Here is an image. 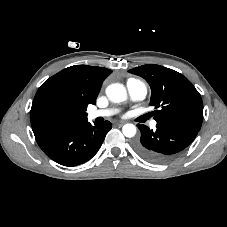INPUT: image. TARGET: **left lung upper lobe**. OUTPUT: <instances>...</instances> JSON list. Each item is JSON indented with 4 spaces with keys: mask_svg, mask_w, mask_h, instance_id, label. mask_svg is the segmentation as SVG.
I'll return each mask as SVG.
<instances>
[{
    "mask_svg": "<svg viewBox=\"0 0 227 227\" xmlns=\"http://www.w3.org/2000/svg\"><path fill=\"white\" fill-rule=\"evenodd\" d=\"M144 78L151 87L150 105L154 119L162 123H177L200 130L203 103L194 85L182 74L155 64L129 70Z\"/></svg>",
    "mask_w": 227,
    "mask_h": 227,
    "instance_id": "1",
    "label": "left lung upper lobe"
}]
</instances>
